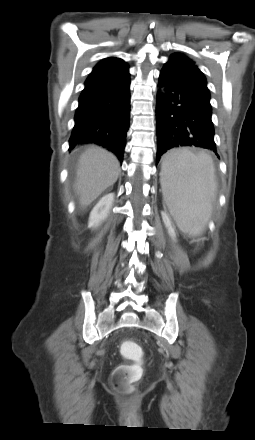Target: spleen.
Wrapping results in <instances>:
<instances>
[{
    "label": "spleen",
    "mask_w": 255,
    "mask_h": 440,
    "mask_svg": "<svg viewBox=\"0 0 255 440\" xmlns=\"http://www.w3.org/2000/svg\"><path fill=\"white\" fill-rule=\"evenodd\" d=\"M161 186L171 215L183 232L201 234L210 218L216 191L213 160L189 149L168 152L162 163Z\"/></svg>",
    "instance_id": "1"
}]
</instances>
